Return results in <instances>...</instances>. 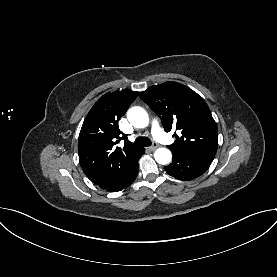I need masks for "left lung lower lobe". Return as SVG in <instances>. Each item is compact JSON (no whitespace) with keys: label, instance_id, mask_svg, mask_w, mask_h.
<instances>
[{"label":"left lung lower lobe","instance_id":"1","mask_svg":"<svg viewBox=\"0 0 277 277\" xmlns=\"http://www.w3.org/2000/svg\"><path fill=\"white\" fill-rule=\"evenodd\" d=\"M173 162L165 171L179 180L189 181L202 175L210 166L215 154L172 152Z\"/></svg>","mask_w":277,"mask_h":277}]
</instances>
